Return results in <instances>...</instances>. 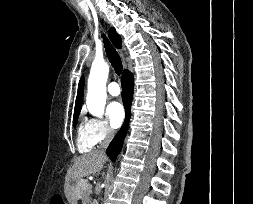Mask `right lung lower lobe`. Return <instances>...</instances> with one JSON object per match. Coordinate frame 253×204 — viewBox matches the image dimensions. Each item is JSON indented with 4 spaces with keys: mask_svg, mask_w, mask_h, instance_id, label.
Masks as SVG:
<instances>
[{
    "mask_svg": "<svg viewBox=\"0 0 253 204\" xmlns=\"http://www.w3.org/2000/svg\"><path fill=\"white\" fill-rule=\"evenodd\" d=\"M122 100L126 111V119L121 127L120 131L116 134L114 139L111 141L109 147L106 150L107 155L112 161H115L116 156L122 149L123 140L127 133V126L130 119V108L131 102L133 98V91H134V81L133 75L130 71L124 70L122 79Z\"/></svg>",
    "mask_w": 253,
    "mask_h": 204,
    "instance_id": "98d812e1",
    "label": "right lung lower lobe"
}]
</instances>
